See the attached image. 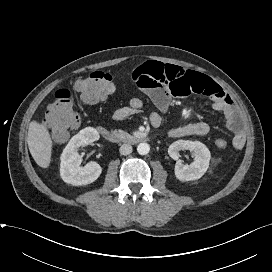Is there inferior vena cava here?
Segmentation results:
<instances>
[{
  "label": "inferior vena cava",
  "mask_w": 272,
  "mask_h": 272,
  "mask_svg": "<svg viewBox=\"0 0 272 272\" xmlns=\"http://www.w3.org/2000/svg\"><path fill=\"white\" fill-rule=\"evenodd\" d=\"M119 151L121 155H129L130 153H132V146L129 144H123L120 147Z\"/></svg>",
  "instance_id": "1"
}]
</instances>
